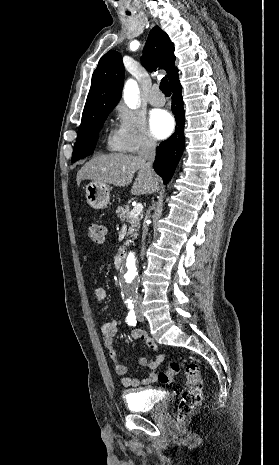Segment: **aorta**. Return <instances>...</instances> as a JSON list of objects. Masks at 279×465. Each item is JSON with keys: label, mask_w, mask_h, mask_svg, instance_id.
<instances>
[{"label": "aorta", "mask_w": 279, "mask_h": 465, "mask_svg": "<svg viewBox=\"0 0 279 465\" xmlns=\"http://www.w3.org/2000/svg\"><path fill=\"white\" fill-rule=\"evenodd\" d=\"M139 88L137 82L129 79L124 86L123 98L128 107L135 109L138 103ZM137 281L136 259L134 254L130 253L125 261L122 272V283L125 291L131 289Z\"/></svg>", "instance_id": "1"}]
</instances>
